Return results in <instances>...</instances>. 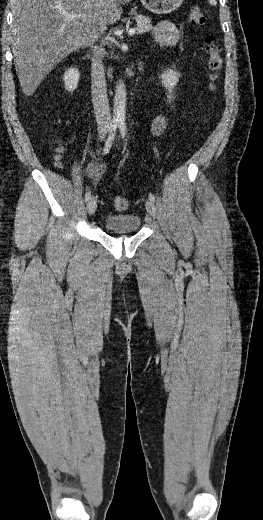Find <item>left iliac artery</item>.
Returning <instances> with one entry per match:
<instances>
[{
  "instance_id": "1",
  "label": "left iliac artery",
  "mask_w": 263,
  "mask_h": 520,
  "mask_svg": "<svg viewBox=\"0 0 263 520\" xmlns=\"http://www.w3.org/2000/svg\"><path fill=\"white\" fill-rule=\"evenodd\" d=\"M119 129H120L121 136L124 138L126 136V123H125L124 119H121L119 121ZM149 199L152 202L155 201V197H154V195L152 193L149 194Z\"/></svg>"
}]
</instances>
